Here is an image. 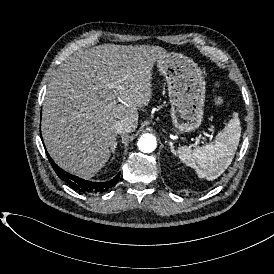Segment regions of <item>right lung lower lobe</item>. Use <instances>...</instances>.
<instances>
[{
	"label": "right lung lower lobe",
	"mask_w": 274,
	"mask_h": 274,
	"mask_svg": "<svg viewBox=\"0 0 274 274\" xmlns=\"http://www.w3.org/2000/svg\"><path fill=\"white\" fill-rule=\"evenodd\" d=\"M47 156H48V159H49L52 167L56 171L58 177L61 178L63 181L67 182L71 187H73L74 189H76L80 192L103 193V192L107 191L109 188H111L112 186H114L119 180L120 173L115 178H113L112 180H110L108 182L87 181V180L81 179L79 177H76L74 175H71V174L65 172L64 170H62L60 167H58L53 162V160L50 158L48 153H47Z\"/></svg>",
	"instance_id": "98d812e1"
}]
</instances>
